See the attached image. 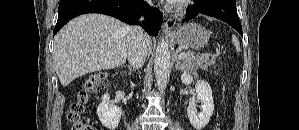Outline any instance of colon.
<instances>
[{
	"label": "colon",
	"instance_id": "colon-1",
	"mask_svg": "<svg viewBox=\"0 0 299 130\" xmlns=\"http://www.w3.org/2000/svg\"><path fill=\"white\" fill-rule=\"evenodd\" d=\"M107 79L105 73H97L90 76L84 83V87L77 99L68 111V120L72 123V130H96V128L82 120L84 107L91 94L95 93L102 87Z\"/></svg>",
	"mask_w": 299,
	"mask_h": 130
}]
</instances>
